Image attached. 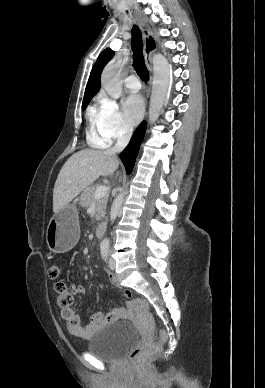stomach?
Instances as JSON below:
<instances>
[{"instance_id":"stomach-1","label":"stomach","mask_w":265,"mask_h":388,"mask_svg":"<svg viewBox=\"0 0 265 388\" xmlns=\"http://www.w3.org/2000/svg\"><path fill=\"white\" fill-rule=\"evenodd\" d=\"M79 219L75 205L62 207L50 220L46 242L49 249L55 253L71 250L79 239Z\"/></svg>"}]
</instances>
